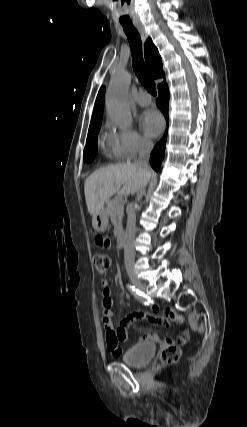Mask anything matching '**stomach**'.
<instances>
[{"instance_id": "stomach-1", "label": "stomach", "mask_w": 247, "mask_h": 427, "mask_svg": "<svg viewBox=\"0 0 247 427\" xmlns=\"http://www.w3.org/2000/svg\"><path fill=\"white\" fill-rule=\"evenodd\" d=\"M93 228L98 232H103L108 226V217L106 211L102 209L97 215L92 219Z\"/></svg>"}]
</instances>
